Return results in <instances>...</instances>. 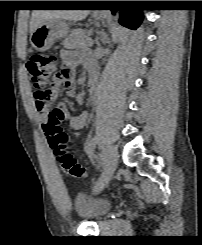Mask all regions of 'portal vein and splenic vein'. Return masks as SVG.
Listing matches in <instances>:
<instances>
[{
    "label": "portal vein and splenic vein",
    "instance_id": "obj_1",
    "mask_svg": "<svg viewBox=\"0 0 202 245\" xmlns=\"http://www.w3.org/2000/svg\"><path fill=\"white\" fill-rule=\"evenodd\" d=\"M88 43H89V45H92L93 44L91 39L88 41Z\"/></svg>",
    "mask_w": 202,
    "mask_h": 245
}]
</instances>
